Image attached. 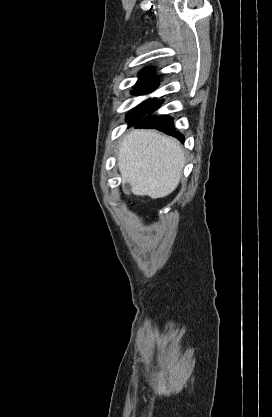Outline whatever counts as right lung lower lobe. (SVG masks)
<instances>
[{
    "instance_id": "1",
    "label": "right lung lower lobe",
    "mask_w": 272,
    "mask_h": 417,
    "mask_svg": "<svg viewBox=\"0 0 272 417\" xmlns=\"http://www.w3.org/2000/svg\"><path fill=\"white\" fill-rule=\"evenodd\" d=\"M160 105H161V101L156 102L152 106V108L149 110L148 113H152L153 111L158 109ZM132 125H129V126H132ZM135 128L157 129L159 131H163L164 133L168 135L176 137L180 141L184 142V136L178 131H175L173 127L172 118L167 115L145 117L139 122H137Z\"/></svg>"
}]
</instances>
